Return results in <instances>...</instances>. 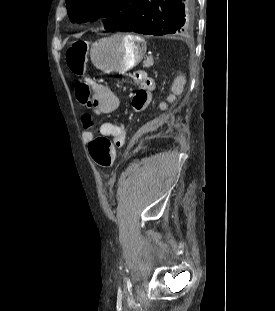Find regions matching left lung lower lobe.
Instances as JSON below:
<instances>
[{
  "instance_id": "1",
  "label": "left lung lower lobe",
  "mask_w": 275,
  "mask_h": 311,
  "mask_svg": "<svg viewBox=\"0 0 275 311\" xmlns=\"http://www.w3.org/2000/svg\"><path fill=\"white\" fill-rule=\"evenodd\" d=\"M194 0H141L136 15L117 31L186 34L194 27Z\"/></svg>"
}]
</instances>
